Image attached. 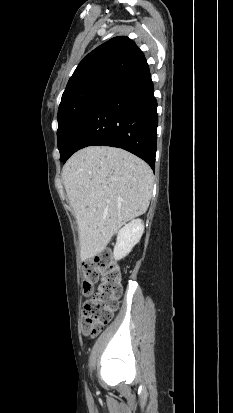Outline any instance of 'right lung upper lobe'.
<instances>
[{
	"mask_svg": "<svg viewBox=\"0 0 233 413\" xmlns=\"http://www.w3.org/2000/svg\"><path fill=\"white\" fill-rule=\"evenodd\" d=\"M144 58L128 37H114L84 57L69 79L63 96L97 78H118Z\"/></svg>",
	"mask_w": 233,
	"mask_h": 413,
	"instance_id": "cb5924a9",
	"label": "right lung upper lobe"
}]
</instances>
